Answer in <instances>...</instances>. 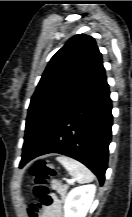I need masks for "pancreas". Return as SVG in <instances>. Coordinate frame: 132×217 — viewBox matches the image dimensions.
I'll list each match as a JSON object with an SVG mask.
<instances>
[{"mask_svg": "<svg viewBox=\"0 0 132 217\" xmlns=\"http://www.w3.org/2000/svg\"><path fill=\"white\" fill-rule=\"evenodd\" d=\"M67 189H68V186L64 185L61 189L58 190V192L60 193L62 199L66 198Z\"/></svg>", "mask_w": 132, "mask_h": 217, "instance_id": "1", "label": "pancreas"}]
</instances>
